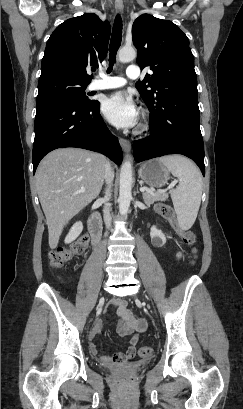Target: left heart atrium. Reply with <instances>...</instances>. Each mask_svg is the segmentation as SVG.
<instances>
[{
  "label": "left heart atrium",
  "mask_w": 243,
  "mask_h": 409,
  "mask_svg": "<svg viewBox=\"0 0 243 409\" xmlns=\"http://www.w3.org/2000/svg\"><path fill=\"white\" fill-rule=\"evenodd\" d=\"M102 111L105 118L116 127H132L137 122L135 102L125 91L109 95L103 102Z\"/></svg>",
  "instance_id": "39dd6f15"
}]
</instances>
